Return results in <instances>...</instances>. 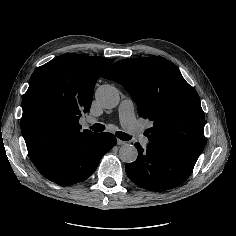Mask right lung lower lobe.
<instances>
[{"mask_svg":"<svg viewBox=\"0 0 236 236\" xmlns=\"http://www.w3.org/2000/svg\"><path fill=\"white\" fill-rule=\"evenodd\" d=\"M116 145L111 133H89L70 143L50 167L45 177L60 185L86 180L96 170L102 156Z\"/></svg>","mask_w":236,"mask_h":236,"instance_id":"obj_1","label":"right lung lower lobe"}]
</instances>
